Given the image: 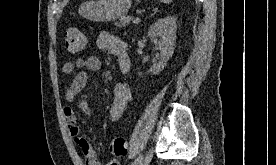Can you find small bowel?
<instances>
[{
    "instance_id": "small-bowel-1",
    "label": "small bowel",
    "mask_w": 276,
    "mask_h": 165,
    "mask_svg": "<svg viewBox=\"0 0 276 165\" xmlns=\"http://www.w3.org/2000/svg\"><path fill=\"white\" fill-rule=\"evenodd\" d=\"M96 44L99 49L109 51L117 58L122 74L128 73L130 70V58L126 42L108 31H102L97 37ZM100 68L101 61L95 56H89L86 59L77 58L73 61L65 62L62 68L64 74L73 75L72 80L65 87V99L73 101L86 86L88 76L84 69L98 71ZM132 97V91L126 82L118 81L115 84L114 98L109 109L111 121L115 122L119 120ZM79 106L86 115H90V107L85 95L82 96ZM63 113L69 133L83 154L85 165H102L97 158L96 151L81 136L74 110L71 107H65ZM106 165H119V161L116 158H109Z\"/></svg>"
}]
</instances>
